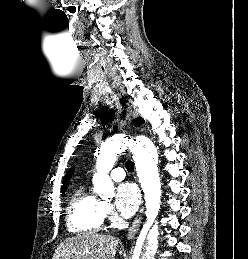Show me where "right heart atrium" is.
I'll use <instances>...</instances> for the list:
<instances>
[{
  "instance_id": "1",
  "label": "right heart atrium",
  "mask_w": 248,
  "mask_h": 259,
  "mask_svg": "<svg viewBox=\"0 0 248 259\" xmlns=\"http://www.w3.org/2000/svg\"><path fill=\"white\" fill-rule=\"evenodd\" d=\"M102 208H103L104 217L112 219L113 218V211H112V208H111L110 204H108L106 202H103Z\"/></svg>"
}]
</instances>
